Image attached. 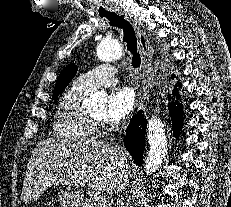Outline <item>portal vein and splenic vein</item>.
<instances>
[{
	"instance_id": "18ae733b",
	"label": "portal vein and splenic vein",
	"mask_w": 231,
	"mask_h": 207,
	"mask_svg": "<svg viewBox=\"0 0 231 207\" xmlns=\"http://www.w3.org/2000/svg\"><path fill=\"white\" fill-rule=\"evenodd\" d=\"M95 198L97 201L104 202V207H106L105 206V198L103 195H96Z\"/></svg>"
}]
</instances>
